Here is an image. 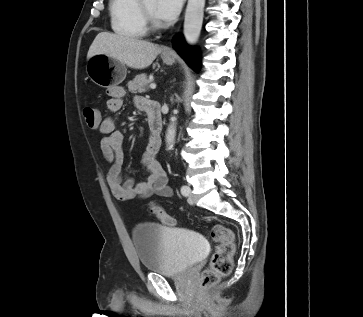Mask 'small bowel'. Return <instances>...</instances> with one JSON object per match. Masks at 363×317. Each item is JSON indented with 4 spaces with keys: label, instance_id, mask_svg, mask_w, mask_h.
Returning <instances> with one entry per match:
<instances>
[{
    "label": "small bowel",
    "instance_id": "small-bowel-1",
    "mask_svg": "<svg viewBox=\"0 0 363 317\" xmlns=\"http://www.w3.org/2000/svg\"><path fill=\"white\" fill-rule=\"evenodd\" d=\"M109 95L110 98L107 101L108 110L111 113L120 111L123 106L125 90L122 87H114L110 89ZM147 102L143 98H137L136 106L146 110ZM99 132L102 134L100 148L106 162L110 165L106 180L112 194L118 201L143 199L154 194L161 197H170L172 195L173 192L168 185L167 174L156 160L159 148L149 143L141 160L146 176L135 181L121 171L125 136L116 129L115 120L112 117L104 118L101 121Z\"/></svg>",
    "mask_w": 363,
    "mask_h": 317
}]
</instances>
